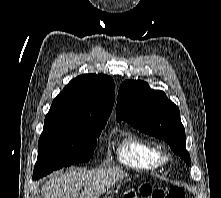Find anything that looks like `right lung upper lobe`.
Masks as SVG:
<instances>
[{"label": "right lung upper lobe", "mask_w": 221, "mask_h": 198, "mask_svg": "<svg viewBox=\"0 0 221 198\" xmlns=\"http://www.w3.org/2000/svg\"><path fill=\"white\" fill-rule=\"evenodd\" d=\"M114 100L111 77L96 74L78 76L53 100L43 131L81 133L105 126Z\"/></svg>", "instance_id": "right-lung-upper-lobe-1"}]
</instances>
